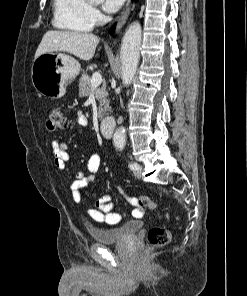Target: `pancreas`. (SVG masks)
I'll return each mask as SVG.
<instances>
[{"mask_svg": "<svg viewBox=\"0 0 247 296\" xmlns=\"http://www.w3.org/2000/svg\"><path fill=\"white\" fill-rule=\"evenodd\" d=\"M91 78L87 73L83 72L79 79V93L83 97L89 96L91 92ZM108 92L105 85L95 88V98L99 102L98 117L103 118V114L109 109Z\"/></svg>", "mask_w": 247, "mask_h": 296, "instance_id": "obj_1", "label": "pancreas"}]
</instances>
